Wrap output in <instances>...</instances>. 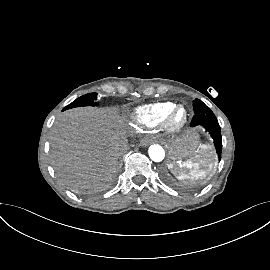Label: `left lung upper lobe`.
Segmentation results:
<instances>
[{
  "mask_svg": "<svg viewBox=\"0 0 270 270\" xmlns=\"http://www.w3.org/2000/svg\"><path fill=\"white\" fill-rule=\"evenodd\" d=\"M194 116L191 124L197 125L206 120L216 119L214 113L200 100L195 99L193 101Z\"/></svg>",
  "mask_w": 270,
  "mask_h": 270,
  "instance_id": "5c2ea615",
  "label": "left lung upper lobe"
}]
</instances>
